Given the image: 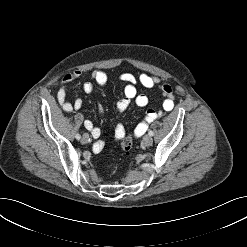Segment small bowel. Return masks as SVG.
I'll list each match as a JSON object with an SVG mask.
<instances>
[{
  "mask_svg": "<svg viewBox=\"0 0 247 247\" xmlns=\"http://www.w3.org/2000/svg\"><path fill=\"white\" fill-rule=\"evenodd\" d=\"M81 76L80 70H74L68 74H66L62 80L59 90L57 92V100L61 106V108L66 112H72L75 110L81 109L83 105V101L80 98L75 99L74 101H69L67 98L68 85L74 80L78 79ZM119 79L125 83L124 87V96L117 102L116 110L118 113L124 112L131 102H135V104L139 107H145L149 100L145 94L139 93L137 89V83L139 82L143 87L147 89L157 88L163 95L164 100L162 103V110L155 111L153 109H148L144 116V119L137 124L135 127V135L141 136L148 129V125L153 122L155 119L162 115V111L170 112L174 108V95L172 87L164 81H161L159 78L142 73L136 78L131 73H123L120 75ZM91 80L85 82L82 86V90L86 94H90L94 91V83L99 86H104L107 83L108 75L103 70H95L91 74ZM99 112L103 113V108L101 105H98ZM85 128L90 131L92 137L97 139L101 135V130L94 125V123L86 119L84 120ZM125 134V128L123 124L118 123L115 127V138L117 136L122 137ZM102 148V143H97L94 146L95 150H99Z\"/></svg>",
  "mask_w": 247,
  "mask_h": 247,
  "instance_id": "small-bowel-1",
  "label": "small bowel"
}]
</instances>
